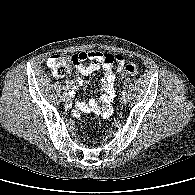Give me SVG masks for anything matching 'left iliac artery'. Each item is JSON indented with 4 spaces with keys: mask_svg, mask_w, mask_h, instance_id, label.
<instances>
[{
    "mask_svg": "<svg viewBox=\"0 0 195 195\" xmlns=\"http://www.w3.org/2000/svg\"><path fill=\"white\" fill-rule=\"evenodd\" d=\"M122 95H126V91L125 90L122 91Z\"/></svg>",
    "mask_w": 195,
    "mask_h": 195,
    "instance_id": "left-iliac-artery-1",
    "label": "left iliac artery"
}]
</instances>
